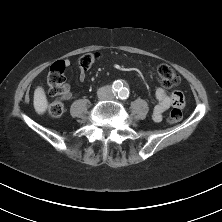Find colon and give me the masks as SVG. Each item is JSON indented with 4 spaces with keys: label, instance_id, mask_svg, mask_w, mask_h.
Segmentation results:
<instances>
[{
    "label": "colon",
    "instance_id": "colon-1",
    "mask_svg": "<svg viewBox=\"0 0 222 222\" xmlns=\"http://www.w3.org/2000/svg\"><path fill=\"white\" fill-rule=\"evenodd\" d=\"M98 52H88L83 54L78 59V65L82 70L90 69L94 63L99 59ZM66 63L63 60L54 62L51 65L48 74V88L50 94L54 97V100L47 105V112L52 117H59L64 112V104L61 101L65 92V79L64 71ZM157 76L161 84L166 88L175 87L180 82L178 73L169 65H160L157 68ZM182 110L172 109L167 121L170 124L179 122L182 119Z\"/></svg>",
    "mask_w": 222,
    "mask_h": 222
}]
</instances>
